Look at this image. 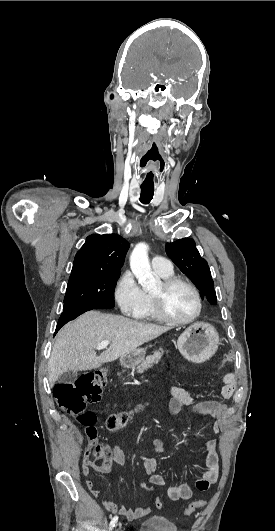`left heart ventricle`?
Listing matches in <instances>:
<instances>
[{"mask_svg": "<svg viewBox=\"0 0 275 531\" xmlns=\"http://www.w3.org/2000/svg\"><path fill=\"white\" fill-rule=\"evenodd\" d=\"M161 290V282L152 290ZM166 311L176 319H186L194 314L196 301L192 292L183 284H175L164 295Z\"/></svg>", "mask_w": 275, "mask_h": 531, "instance_id": "1", "label": "left heart ventricle"}]
</instances>
